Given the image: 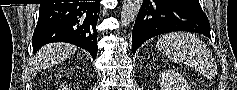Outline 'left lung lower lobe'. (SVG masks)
I'll return each mask as SVG.
<instances>
[{"mask_svg": "<svg viewBox=\"0 0 237 90\" xmlns=\"http://www.w3.org/2000/svg\"><path fill=\"white\" fill-rule=\"evenodd\" d=\"M172 31L210 36V24L198 0H144L132 33L133 54L146 40Z\"/></svg>", "mask_w": 237, "mask_h": 90, "instance_id": "obj_1", "label": "left lung lower lobe"}]
</instances>
